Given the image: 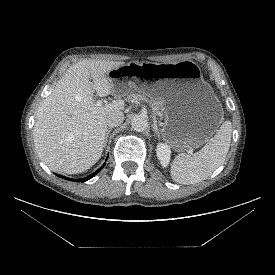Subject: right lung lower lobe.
<instances>
[{"label": "right lung lower lobe", "mask_w": 275, "mask_h": 275, "mask_svg": "<svg viewBox=\"0 0 275 275\" xmlns=\"http://www.w3.org/2000/svg\"><path fill=\"white\" fill-rule=\"evenodd\" d=\"M105 163L97 170L95 171L93 174L89 175L88 177H85V178H81V179H70V178H67V177H64V176H61V175H58L60 178H63V179H67V180H73L75 182H85L89 179H91L92 177H94L103 167H104Z\"/></svg>", "instance_id": "obj_1"}]
</instances>
